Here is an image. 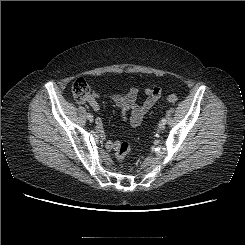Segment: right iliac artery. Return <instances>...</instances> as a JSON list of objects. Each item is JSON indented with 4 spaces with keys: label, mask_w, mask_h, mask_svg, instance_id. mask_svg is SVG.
<instances>
[{
    "label": "right iliac artery",
    "mask_w": 245,
    "mask_h": 245,
    "mask_svg": "<svg viewBox=\"0 0 245 245\" xmlns=\"http://www.w3.org/2000/svg\"><path fill=\"white\" fill-rule=\"evenodd\" d=\"M92 115L90 113L87 114V117H91Z\"/></svg>",
    "instance_id": "1"
}]
</instances>
